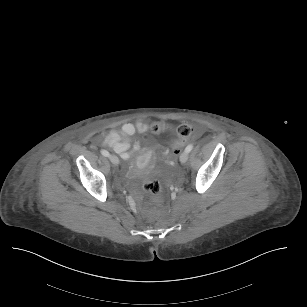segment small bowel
Returning a JSON list of instances; mask_svg holds the SVG:
<instances>
[{"mask_svg":"<svg viewBox=\"0 0 307 307\" xmlns=\"http://www.w3.org/2000/svg\"><path fill=\"white\" fill-rule=\"evenodd\" d=\"M148 124L143 120L136 122H125L119 130H111L104 137V144L110 146L123 159L129 158V149L133 147L135 150L139 148L138 143H132L131 136L135 132L145 134Z\"/></svg>","mask_w":307,"mask_h":307,"instance_id":"1","label":"small bowel"}]
</instances>
